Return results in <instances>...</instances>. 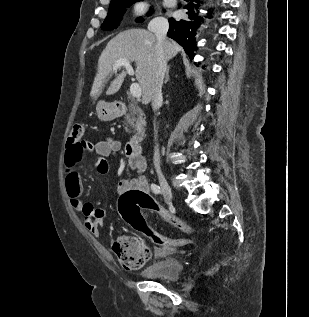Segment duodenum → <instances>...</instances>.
Returning <instances> with one entry per match:
<instances>
[{
	"instance_id": "duodenum-1",
	"label": "duodenum",
	"mask_w": 309,
	"mask_h": 317,
	"mask_svg": "<svg viewBox=\"0 0 309 317\" xmlns=\"http://www.w3.org/2000/svg\"><path fill=\"white\" fill-rule=\"evenodd\" d=\"M127 111L126 106L123 103H118L115 106V112L117 115H124ZM142 137L137 135L133 137L126 145L125 152L129 158L136 157L142 153Z\"/></svg>"
}]
</instances>
